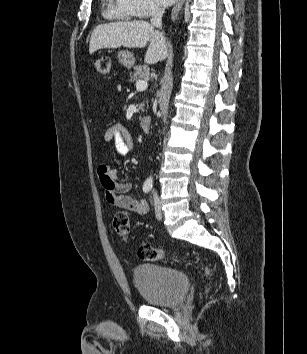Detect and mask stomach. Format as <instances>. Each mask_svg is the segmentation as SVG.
Masks as SVG:
<instances>
[{"instance_id":"obj_1","label":"stomach","mask_w":307,"mask_h":354,"mask_svg":"<svg viewBox=\"0 0 307 354\" xmlns=\"http://www.w3.org/2000/svg\"><path fill=\"white\" fill-rule=\"evenodd\" d=\"M117 58L119 63L126 68H131L135 63L134 55L129 51H120Z\"/></svg>"}]
</instances>
